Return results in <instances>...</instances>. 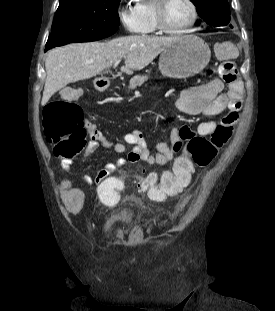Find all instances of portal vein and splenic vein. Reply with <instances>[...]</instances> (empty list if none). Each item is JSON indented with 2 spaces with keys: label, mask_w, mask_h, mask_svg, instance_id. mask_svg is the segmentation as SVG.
Here are the masks:
<instances>
[{
  "label": "portal vein and splenic vein",
  "mask_w": 275,
  "mask_h": 311,
  "mask_svg": "<svg viewBox=\"0 0 275 311\" xmlns=\"http://www.w3.org/2000/svg\"><path fill=\"white\" fill-rule=\"evenodd\" d=\"M118 62H119V61H116L115 65H117V64H118Z\"/></svg>",
  "instance_id": "1"
}]
</instances>
